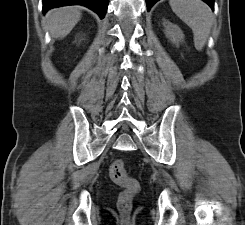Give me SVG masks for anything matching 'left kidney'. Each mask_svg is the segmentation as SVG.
I'll return each instance as SVG.
<instances>
[{"mask_svg": "<svg viewBox=\"0 0 245 225\" xmlns=\"http://www.w3.org/2000/svg\"><path fill=\"white\" fill-rule=\"evenodd\" d=\"M163 26L165 28L166 37L174 44L178 45L184 39L182 30L175 24L164 20Z\"/></svg>", "mask_w": 245, "mask_h": 225, "instance_id": "1", "label": "left kidney"}]
</instances>
